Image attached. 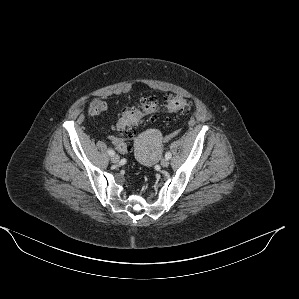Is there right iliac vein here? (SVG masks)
<instances>
[{
  "label": "right iliac vein",
  "mask_w": 299,
  "mask_h": 299,
  "mask_svg": "<svg viewBox=\"0 0 299 299\" xmlns=\"http://www.w3.org/2000/svg\"><path fill=\"white\" fill-rule=\"evenodd\" d=\"M119 161H120V158L117 154H114V155L111 156V162L112 163L117 164V163H119Z\"/></svg>",
  "instance_id": "1"
}]
</instances>
